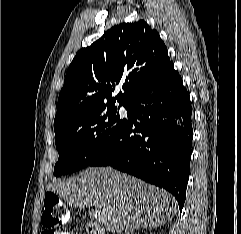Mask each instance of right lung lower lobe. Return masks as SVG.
I'll use <instances>...</instances> for the list:
<instances>
[{
	"label": "right lung lower lobe",
	"instance_id": "obj_1",
	"mask_svg": "<svg viewBox=\"0 0 241 234\" xmlns=\"http://www.w3.org/2000/svg\"><path fill=\"white\" fill-rule=\"evenodd\" d=\"M125 108L128 119L89 166H112L164 188L182 210L190 173L192 107L173 63Z\"/></svg>",
	"mask_w": 241,
	"mask_h": 234
}]
</instances>
